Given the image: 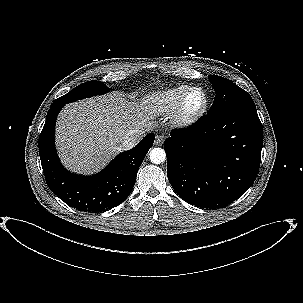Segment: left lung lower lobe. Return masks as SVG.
I'll return each instance as SVG.
<instances>
[{
  "label": "left lung lower lobe",
  "instance_id": "left-lung-lower-lobe-1",
  "mask_svg": "<svg viewBox=\"0 0 303 303\" xmlns=\"http://www.w3.org/2000/svg\"><path fill=\"white\" fill-rule=\"evenodd\" d=\"M170 135L164 145L168 179L189 204L222 208L257 177L263 127L256 108L207 114Z\"/></svg>",
  "mask_w": 303,
  "mask_h": 303
}]
</instances>
